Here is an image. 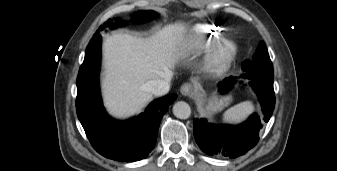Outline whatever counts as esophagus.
I'll return each instance as SVG.
<instances>
[{
  "label": "esophagus",
  "instance_id": "obj_1",
  "mask_svg": "<svg viewBox=\"0 0 337 171\" xmlns=\"http://www.w3.org/2000/svg\"><path fill=\"white\" fill-rule=\"evenodd\" d=\"M180 92L183 96H191L194 92L193 90V86L190 83H184L181 87H180Z\"/></svg>",
  "mask_w": 337,
  "mask_h": 171
}]
</instances>
